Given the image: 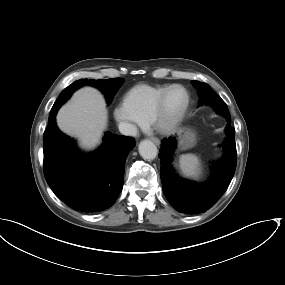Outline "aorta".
<instances>
[{"mask_svg":"<svg viewBox=\"0 0 285 285\" xmlns=\"http://www.w3.org/2000/svg\"><path fill=\"white\" fill-rule=\"evenodd\" d=\"M138 151L140 156L146 160H153L158 154L156 145L150 140H143L140 142Z\"/></svg>","mask_w":285,"mask_h":285,"instance_id":"762f6f07","label":"aorta"}]
</instances>
